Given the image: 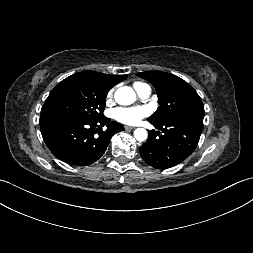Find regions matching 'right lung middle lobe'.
<instances>
[{
  "mask_svg": "<svg viewBox=\"0 0 253 253\" xmlns=\"http://www.w3.org/2000/svg\"><path fill=\"white\" fill-rule=\"evenodd\" d=\"M109 90L86 71L73 74L51 91L41 109L40 119L63 117L97 120L103 117Z\"/></svg>",
  "mask_w": 253,
  "mask_h": 253,
  "instance_id": "dd1d6c3e",
  "label": "right lung middle lobe"
}]
</instances>
